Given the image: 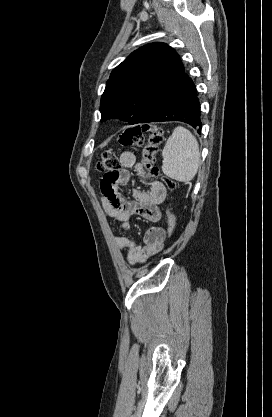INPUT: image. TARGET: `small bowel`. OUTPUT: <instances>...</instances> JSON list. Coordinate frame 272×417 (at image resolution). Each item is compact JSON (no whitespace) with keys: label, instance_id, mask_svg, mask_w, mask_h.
Listing matches in <instances>:
<instances>
[{"label":"small bowel","instance_id":"c3829d8e","mask_svg":"<svg viewBox=\"0 0 272 417\" xmlns=\"http://www.w3.org/2000/svg\"><path fill=\"white\" fill-rule=\"evenodd\" d=\"M120 162L122 168L117 173L105 174L101 180V203L105 214L119 221L125 231L130 230L133 215H139L151 223L145 232L143 244L125 235L114 239L119 248L127 249V261L134 265L144 263L157 254L166 240L160 205L166 199L167 190L161 182L151 181L148 191L135 188L132 190L134 200L125 199L120 190L131 182L132 172L129 169H134L141 178H145L146 173L131 152H123Z\"/></svg>","mask_w":272,"mask_h":417}]
</instances>
